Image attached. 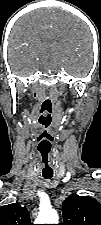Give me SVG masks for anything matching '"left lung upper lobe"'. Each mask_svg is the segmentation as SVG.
<instances>
[{"label": "left lung upper lobe", "mask_w": 101, "mask_h": 225, "mask_svg": "<svg viewBox=\"0 0 101 225\" xmlns=\"http://www.w3.org/2000/svg\"><path fill=\"white\" fill-rule=\"evenodd\" d=\"M62 212L61 225H101V204L89 196L70 195L62 204Z\"/></svg>", "instance_id": "1"}]
</instances>
